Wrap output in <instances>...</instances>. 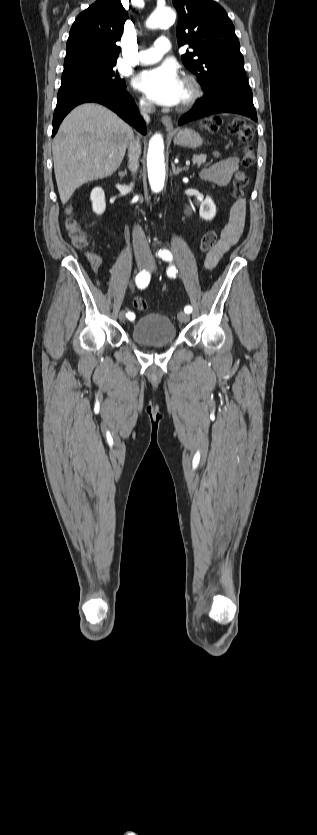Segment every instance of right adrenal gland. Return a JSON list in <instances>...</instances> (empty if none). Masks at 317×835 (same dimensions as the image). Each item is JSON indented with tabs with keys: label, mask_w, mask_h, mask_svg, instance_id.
<instances>
[{
	"label": "right adrenal gland",
	"mask_w": 317,
	"mask_h": 835,
	"mask_svg": "<svg viewBox=\"0 0 317 835\" xmlns=\"http://www.w3.org/2000/svg\"><path fill=\"white\" fill-rule=\"evenodd\" d=\"M126 174H127V171H126V170H125L124 172H123V171L119 172V176H120V177H124Z\"/></svg>",
	"instance_id": "1"
}]
</instances>
